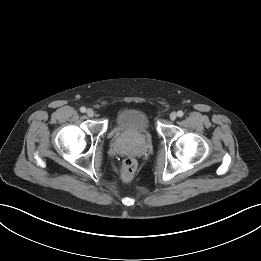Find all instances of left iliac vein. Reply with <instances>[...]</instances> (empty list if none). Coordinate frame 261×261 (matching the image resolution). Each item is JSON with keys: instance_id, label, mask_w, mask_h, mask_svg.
<instances>
[{"instance_id": "4c4485c4", "label": "left iliac vein", "mask_w": 261, "mask_h": 261, "mask_svg": "<svg viewBox=\"0 0 261 261\" xmlns=\"http://www.w3.org/2000/svg\"><path fill=\"white\" fill-rule=\"evenodd\" d=\"M169 117H170V119L172 121H174L177 118V113L176 112H172Z\"/></svg>"}]
</instances>
